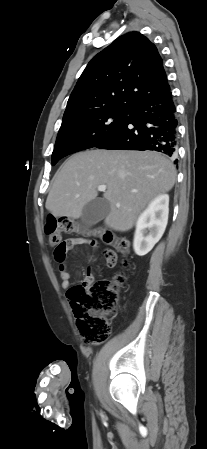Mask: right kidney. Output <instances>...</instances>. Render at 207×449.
<instances>
[{
    "label": "right kidney",
    "instance_id": "right-kidney-1",
    "mask_svg": "<svg viewBox=\"0 0 207 449\" xmlns=\"http://www.w3.org/2000/svg\"><path fill=\"white\" fill-rule=\"evenodd\" d=\"M169 196L158 195L139 216L136 223L133 248L144 256L161 239L168 222Z\"/></svg>",
    "mask_w": 207,
    "mask_h": 449
}]
</instances>
